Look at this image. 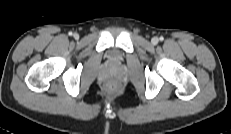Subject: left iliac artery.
<instances>
[{
  "instance_id": "1",
  "label": "left iliac artery",
  "mask_w": 231,
  "mask_h": 134,
  "mask_svg": "<svg viewBox=\"0 0 231 134\" xmlns=\"http://www.w3.org/2000/svg\"><path fill=\"white\" fill-rule=\"evenodd\" d=\"M160 40L162 41V40H163V37H160Z\"/></svg>"
}]
</instances>
